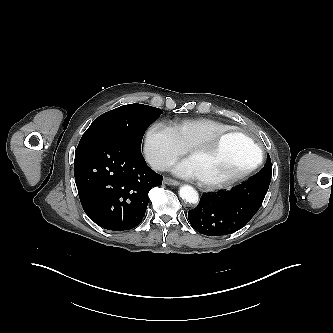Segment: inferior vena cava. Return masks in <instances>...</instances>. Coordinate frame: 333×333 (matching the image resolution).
<instances>
[{
    "label": "inferior vena cava",
    "mask_w": 333,
    "mask_h": 333,
    "mask_svg": "<svg viewBox=\"0 0 333 333\" xmlns=\"http://www.w3.org/2000/svg\"><path fill=\"white\" fill-rule=\"evenodd\" d=\"M150 164L154 170L159 171H165L169 167V164L167 162L160 159L152 160Z\"/></svg>",
    "instance_id": "602c4592"
}]
</instances>
